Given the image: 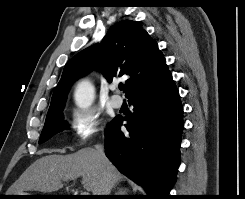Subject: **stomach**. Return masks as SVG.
Segmentation results:
<instances>
[{"instance_id": "1", "label": "stomach", "mask_w": 245, "mask_h": 199, "mask_svg": "<svg viewBox=\"0 0 245 199\" xmlns=\"http://www.w3.org/2000/svg\"><path fill=\"white\" fill-rule=\"evenodd\" d=\"M17 195H32V194H29V193H25V192H23V193H21V194H17ZM20 197H25V196H20Z\"/></svg>"}]
</instances>
